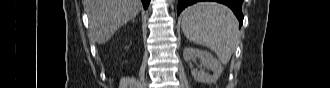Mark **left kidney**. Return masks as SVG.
<instances>
[{"label": "left kidney", "instance_id": "obj_1", "mask_svg": "<svg viewBox=\"0 0 330 88\" xmlns=\"http://www.w3.org/2000/svg\"><path fill=\"white\" fill-rule=\"evenodd\" d=\"M183 57L185 61H190L199 58L205 68H210L213 71V75H209L204 71L192 69V76L197 82L207 84L214 83L218 80L223 71L221 63L208 51H203L195 48H185L183 51Z\"/></svg>", "mask_w": 330, "mask_h": 88}]
</instances>
